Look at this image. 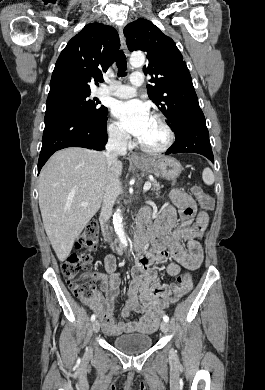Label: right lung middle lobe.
Masks as SVG:
<instances>
[{"label":"right lung middle lobe","mask_w":265,"mask_h":390,"mask_svg":"<svg viewBox=\"0 0 265 390\" xmlns=\"http://www.w3.org/2000/svg\"><path fill=\"white\" fill-rule=\"evenodd\" d=\"M90 93L70 94L49 99L46 102V113H74L94 122L107 118V108L89 98Z\"/></svg>","instance_id":"1"}]
</instances>
